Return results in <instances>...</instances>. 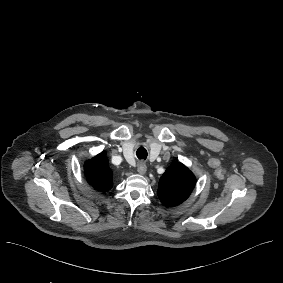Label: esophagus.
I'll list each match as a JSON object with an SVG mask.
<instances>
[{"mask_svg": "<svg viewBox=\"0 0 283 283\" xmlns=\"http://www.w3.org/2000/svg\"><path fill=\"white\" fill-rule=\"evenodd\" d=\"M146 171H147L146 164L144 162H139L137 164V172L139 174H145Z\"/></svg>", "mask_w": 283, "mask_h": 283, "instance_id": "34e87169", "label": "esophagus"}]
</instances>
